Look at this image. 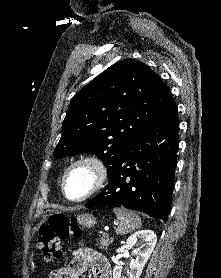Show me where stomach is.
I'll return each mask as SVG.
<instances>
[{"instance_id": "obj_1", "label": "stomach", "mask_w": 221, "mask_h": 278, "mask_svg": "<svg viewBox=\"0 0 221 278\" xmlns=\"http://www.w3.org/2000/svg\"><path fill=\"white\" fill-rule=\"evenodd\" d=\"M77 223L79 225H81L82 227H92L95 223H96V218L91 215V214H87V213H83L81 215H78L76 217ZM44 221H41L37 227L35 228V230H39L40 226L43 224Z\"/></svg>"}]
</instances>
